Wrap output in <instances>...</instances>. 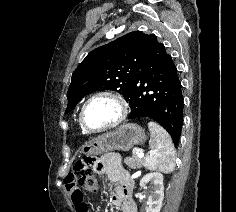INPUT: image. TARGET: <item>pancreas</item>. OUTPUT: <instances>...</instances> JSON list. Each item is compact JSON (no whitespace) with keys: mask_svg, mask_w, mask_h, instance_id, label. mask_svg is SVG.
I'll list each match as a JSON object with an SVG mask.
<instances>
[{"mask_svg":"<svg viewBox=\"0 0 236 212\" xmlns=\"http://www.w3.org/2000/svg\"><path fill=\"white\" fill-rule=\"evenodd\" d=\"M124 162L129 168L137 169L141 168L144 164V158H140L138 155L134 154L133 157H127Z\"/></svg>","mask_w":236,"mask_h":212,"instance_id":"pancreas-1","label":"pancreas"}]
</instances>
